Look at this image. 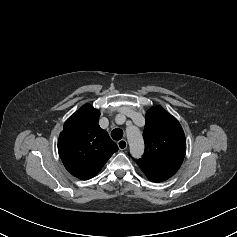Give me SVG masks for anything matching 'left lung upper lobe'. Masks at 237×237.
Masks as SVG:
<instances>
[{
    "mask_svg": "<svg viewBox=\"0 0 237 237\" xmlns=\"http://www.w3.org/2000/svg\"><path fill=\"white\" fill-rule=\"evenodd\" d=\"M143 137L145 153L135 161L149 180H167L178 171L186 153L180 123L162 107L154 106L147 111Z\"/></svg>",
    "mask_w": 237,
    "mask_h": 237,
    "instance_id": "5c2ea615",
    "label": "left lung upper lobe"
}]
</instances>
